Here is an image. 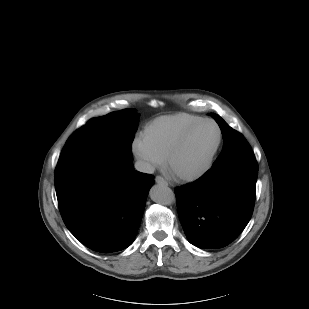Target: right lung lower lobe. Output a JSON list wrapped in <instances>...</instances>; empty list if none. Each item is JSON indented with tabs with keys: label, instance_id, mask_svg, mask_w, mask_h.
<instances>
[{
	"label": "right lung lower lobe",
	"instance_id": "right-lung-lower-lobe-1",
	"mask_svg": "<svg viewBox=\"0 0 309 309\" xmlns=\"http://www.w3.org/2000/svg\"><path fill=\"white\" fill-rule=\"evenodd\" d=\"M153 177L135 171L132 154L96 149L55 175L63 221L91 250L110 253L130 246L139 228Z\"/></svg>",
	"mask_w": 309,
	"mask_h": 309
}]
</instances>
